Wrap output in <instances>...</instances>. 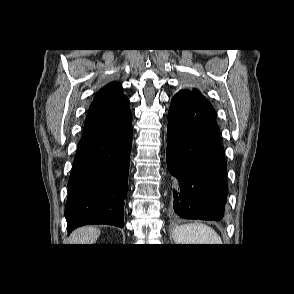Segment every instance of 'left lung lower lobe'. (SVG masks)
Masks as SVG:
<instances>
[{"mask_svg":"<svg viewBox=\"0 0 294 294\" xmlns=\"http://www.w3.org/2000/svg\"><path fill=\"white\" fill-rule=\"evenodd\" d=\"M167 144L174 212L184 219L221 220L227 163L216 114L204 96L182 92L172 98Z\"/></svg>","mask_w":294,"mask_h":294,"instance_id":"0a47b994","label":"left lung lower lobe"}]
</instances>
